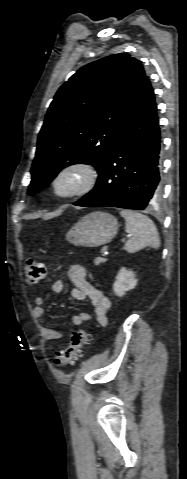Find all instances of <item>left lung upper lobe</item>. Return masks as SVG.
<instances>
[{
	"label": "left lung upper lobe",
	"instance_id": "left-lung-upper-lobe-1",
	"mask_svg": "<svg viewBox=\"0 0 187 479\" xmlns=\"http://www.w3.org/2000/svg\"><path fill=\"white\" fill-rule=\"evenodd\" d=\"M145 77L139 60L119 53L80 68L60 87L39 133L29 195L66 166L82 163L100 170Z\"/></svg>",
	"mask_w": 187,
	"mask_h": 479
}]
</instances>
